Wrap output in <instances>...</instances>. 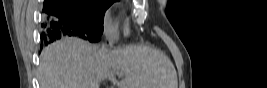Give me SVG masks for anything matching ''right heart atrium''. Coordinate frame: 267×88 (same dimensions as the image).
<instances>
[{
  "label": "right heart atrium",
  "instance_id": "right-heart-atrium-1",
  "mask_svg": "<svg viewBox=\"0 0 267 88\" xmlns=\"http://www.w3.org/2000/svg\"><path fill=\"white\" fill-rule=\"evenodd\" d=\"M103 24H104V32H105L106 37L110 41H114L117 38L118 25H117L116 20L112 17L110 12L105 13Z\"/></svg>",
  "mask_w": 267,
  "mask_h": 88
}]
</instances>
